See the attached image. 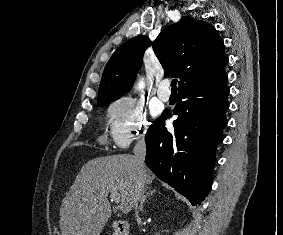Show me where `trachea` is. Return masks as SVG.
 <instances>
[{
    "instance_id": "1",
    "label": "trachea",
    "mask_w": 283,
    "mask_h": 235,
    "mask_svg": "<svg viewBox=\"0 0 283 235\" xmlns=\"http://www.w3.org/2000/svg\"><path fill=\"white\" fill-rule=\"evenodd\" d=\"M177 79H173L172 82H171V87H172V90H177Z\"/></svg>"
}]
</instances>
